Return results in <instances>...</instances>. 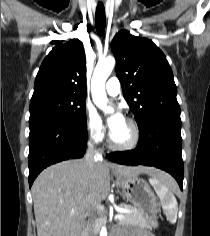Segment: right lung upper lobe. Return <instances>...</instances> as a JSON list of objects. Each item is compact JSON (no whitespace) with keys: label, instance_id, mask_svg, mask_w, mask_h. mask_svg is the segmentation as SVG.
I'll use <instances>...</instances> for the list:
<instances>
[{"label":"right lung upper lobe","instance_id":"right-lung-upper-lobe-1","mask_svg":"<svg viewBox=\"0 0 210 236\" xmlns=\"http://www.w3.org/2000/svg\"><path fill=\"white\" fill-rule=\"evenodd\" d=\"M85 52L73 39L53 48L43 60L35 79L31 101L48 95L86 97Z\"/></svg>","mask_w":210,"mask_h":236}]
</instances>
